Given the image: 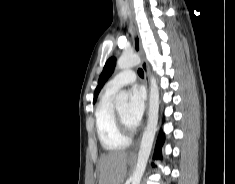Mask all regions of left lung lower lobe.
<instances>
[{
    "mask_svg": "<svg viewBox=\"0 0 235 184\" xmlns=\"http://www.w3.org/2000/svg\"><path fill=\"white\" fill-rule=\"evenodd\" d=\"M163 142H164V134L161 132L156 144V149L154 154L155 158H161V147L163 145Z\"/></svg>",
    "mask_w": 235,
    "mask_h": 184,
    "instance_id": "obj_1",
    "label": "left lung lower lobe"
}]
</instances>
